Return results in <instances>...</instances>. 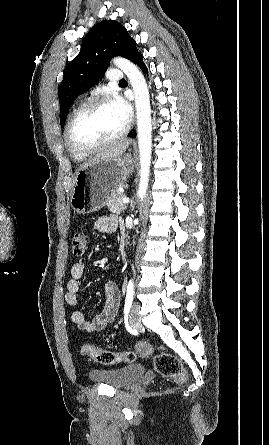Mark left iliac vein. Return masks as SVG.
I'll return each mask as SVG.
<instances>
[{
    "label": "left iliac vein",
    "instance_id": "left-iliac-vein-1",
    "mask_svg": "<svg viewBox=\"0 0 269 445\" xmlns=\"http://www.w3.org/2000/svg\"><path fill=\"white\" fill-rule=\"evenodd\" d=\"M139 310H140L139 304L137 302H134L129 312V323L132 327L140 325Z\"/></svg>",
    "mask_w": 269,
    "mask_h": 445
}]
</instances>
